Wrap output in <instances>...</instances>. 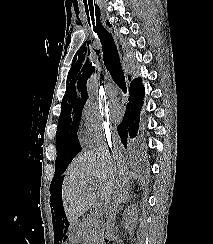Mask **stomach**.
Returning a JSON list of instances; mask_svg holds the SVG:
<instances>
[{
	"mask_svg": "<svg viewBox=\"0 0 213 244\" xmlns=\"http://www.w3.org/2000/svg\"><path fill=\"white\" fill-rule=\"evenodd\" d=\"M71 227L69 229V235L73 239L70 240L71 244H76L77 241L82 240L83 238V221H71Z\"/></svg>",
	"mask_w": 213,
	"mask_h": 244,
	"instance_id": "0dacf381",
	"label": "stomach"
}]
</instances>
